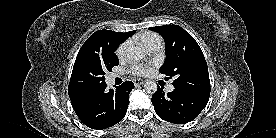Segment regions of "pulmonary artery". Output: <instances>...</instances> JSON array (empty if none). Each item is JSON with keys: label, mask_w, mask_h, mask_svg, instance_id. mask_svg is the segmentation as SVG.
Returning a JSON list of instances; mask_svg holds the SVG:
<instances>
[{"label": "pulmonary artery", "mask_w": 276, "mask_h": 138, "mask_svg": "<svg viewBox=\"0 0 276 138\" xmlns=\"http://www.w3.org/2000/svg\"><path fill=\"white\" fill-rule=\"evenodd\" d=\"M161 48V44H155V45H152L151 47H149L147 50L150 54H155L156 52H158ZM116 75H113V78H115ZM167 91L168 92H172L174 90V86L172 84H169L167 86Z\"/></svg>", "instance_id": "pulmonary-artery-1"}]
</instances>
